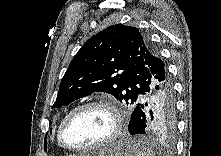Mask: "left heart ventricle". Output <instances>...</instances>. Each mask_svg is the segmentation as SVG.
Masks as SVG:
<instances>
[{
	"instance_id": "left-heart-ventricle-1",
	"label": "left heart ventricle",
	"mask_w": 221,
	"mask_h": 156,
	"mask_svg": "<svg viewBox=\"0 0 221 156\" xmlns=\"http://www.w3.org/2000/svg\"><path fill=\"white\" fill-rule=\"evenodd\" d=\"M113 118L109 111L91 107L78 113L66 129L67 142L75 147L91 146L104 140L112 131Z\"/></svg>"
}]
</instances>
